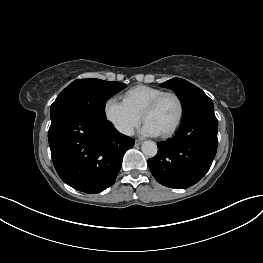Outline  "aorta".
<instances>
[{
    "label": "aorta",
    "instance_id": "aorta-1",
    "mask_svg": "<svg viewBox=\"0 0 263 263\" xmlns=\"http://www.w3.org/2000/svg\"><path fill=\"white\" fill-rule=\"evenodd\" d=\"M141 149L147 157H154L158 151L157 144L154 141H145L142 144Z\"/></svg>",
    "mask_w": 263,
    "mask_h": 263
}]
</instances>
